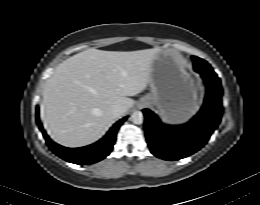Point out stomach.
I'll return each mask as SVG.
<instances>
[{"label":"stomach","instance_id":"1","mask_svg":"<svg viewBox=\"0 0 260 205\" xmlns=\"http://www.w3.org/2000/svg\"><path fill=\"white\" fill-rule=\"evenodd\" d=\"M150 93L143 99L156 107L164 121L176 123L190 117L198 106L196 86L176 53L161 51L151 67Z\"/></svg>","mask_w":260,"mask_h":205}]
</instances>
